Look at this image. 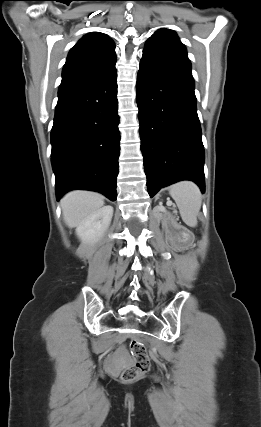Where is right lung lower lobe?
Instances as JSON below:
<instances>
[{
  "label": "right lung lower lobe",
  "mask_w": 261,
  "mask_h": 427,
  "mask_svg": "<svg viewBox=\"0 0 261 427\" xmlns=\"http://www.w3.org/2000/svg\"><path fill=\"white\" fill-rule=\"evenodd\" d=\"M117 71L58 93L51 161L59 200L73 189L98 191L115 201L119 116Z\"/></svg>",
  "instance_id": "98d812e1"
}]
</instances>
